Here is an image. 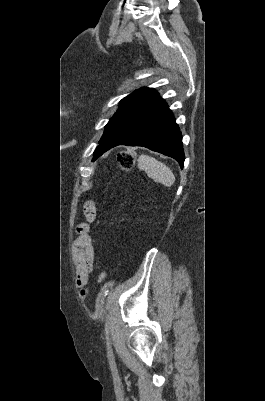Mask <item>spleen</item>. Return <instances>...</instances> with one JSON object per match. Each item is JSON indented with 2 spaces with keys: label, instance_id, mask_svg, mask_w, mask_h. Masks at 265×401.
<instances>
[{
  "label": "spleen",
  "instance_id": "1",
  "mask_svg": "<svg viewBox=\"0 0 265 401\" xmlns=\"http://www.w3.org/2000/svg\"><path fill=\"white\" fill-rule=\"evenodd\" d=\"M138 168L145 170L148 176H151L155 182H161L164 186H172L175 182V176L164 162L156 160L153 156H148V154H140L138 158Z\"/></svg>",
  "mask_w": 265,
  "mask_h": 401
}]
</instances>
